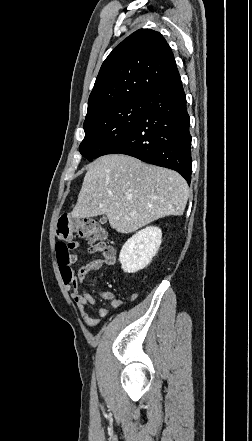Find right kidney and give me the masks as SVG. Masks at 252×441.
I'll use <instances>...</instances> for the list:
<instances>
[{"mask_svg":"<svg viewBox=\"0 0 252 441\" xmlns=\"http://www.w3.org/2000/svg\"><path fill=\"white\" fill-rule=\"evenodd\" d=\"M162 241V231L157 226H148L126 241L119 261L125 273H136L144 269L157 253Z\"/></svg>","mask_w":252,"mask_h":441,"instance_id":"right-kidney-1","label":"right kidney"}]
</instances>
